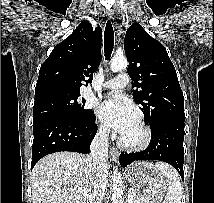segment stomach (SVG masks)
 Here are the masks:
<instances>
[{"label": "stomach", "instance_id": "obj_1", "mask_svg": "<svg viewBox=\"0 0 214 203\" xmlns=\"http://www.w3.org/2000/svg\"><path fill=\"white\" fill-rule=\"evenodd\" d=\"M126 178L132 184L135 203H160L167 194V178L152 163L135 162L127 169Z\"/></svg>", "mask_w": 214, "mask_h": 203}]
</instances>
